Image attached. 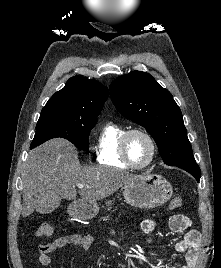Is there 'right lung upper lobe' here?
Instances as JSON below:
<instances>
[{
  "mask_svg": "<svg viewBox=\"0 0 221 268\" xmlns=\"http://www.w3.org/2000/svg\"><path fill=\"white\" fill-rule=\"evenodd\" d=\"M108 96V88L98 81L74 76L49 99L42 112H62L97 120Z\"/></svg>",
  "mask_w": 221,
  "mask_h": 268,
  "instance_id": "1",
  "label": "right lung upper lobe"
}]
</instances>
